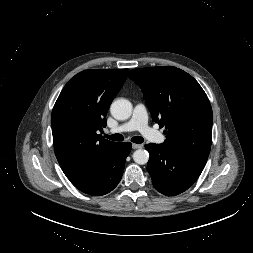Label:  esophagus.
Masks as SVG:
<instances>
[{"label": "esophagus", "instance_id": "obj_1", "mask_svg": "<svg viewBox=\"0 0 253 253\" xmlns=\"http://www.w3.org/2000/svg\"><path fill=\"white\" fill-rule=\"evenodd\" d=\"M142 147H143L142 144H135V143L132 144V148H133V149H140V148H142Z\"/></svg>", "mask_w": 253, "mask_h": 253}]
</instances>
